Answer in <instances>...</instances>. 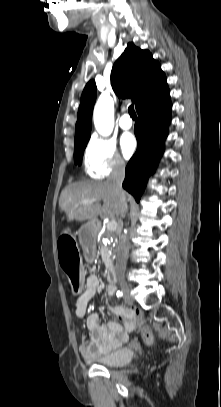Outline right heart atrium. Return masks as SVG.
Wrapping results in <instances>:
<instances>
[{
    "instance_id": "1",
    "label": "right heart atrium",
    "mask_w": 221,
    "mask_h": 407,
    "mask_svg": "<svg viewBox=\"0 0 221 407\" xmlns=\"http://www.w3.org/2000/svg\"><path fill=\"white\" fill-rule=\"evenodd\" d=\"M84 161L87 172L93 178L106 177L125 167V161L119 154L115 142L97 135L88 141Z\"/></svg>"
}]
</instances>
